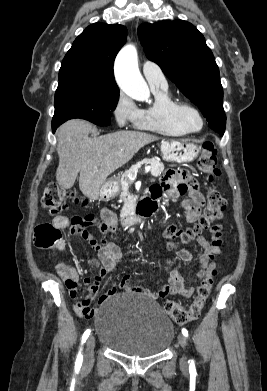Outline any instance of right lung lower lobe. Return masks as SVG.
I'll list each match as a JSON object with an SVG mask.
<instances>
[{
    "label": "right lung lower lobe",
    "instance_id": "obj_1",
    "mask_svg": "<svg viewBox=\"0 0 267 391\" xmlns=\"http://www.w3.org/2000/svg\"><path fill=\"white\" fill-rule=\"evenodd\" d=\"M59 125H52V131H53V133L55 132V130L57 129V127H58Z\"/></svg>",
    "mask_w": 267,
    "mask_h": 391
}]
</instances>
